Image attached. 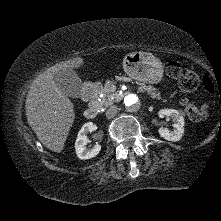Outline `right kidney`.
I'll list each match as a JSON object with an SVG mask.
<instances>
[{"mask_svg":"<svg viewBox=\"0 0 221 221\" xmlns=\"http://www.w3.org/2000/svg\"><path fill=\"white\" fill-rule=\"evenodd\" d=\"M96 125L92 122L85 123L78 132L75 142L76 155L80 159H91L98 155L101 150V145L96 144L92 148H87L86 145L89 142L87 134L96 129Z\"/></svg>","mask_w":221,"mask_h":221,"instance_id":"1","label":"right kidney"}]
</instances>
